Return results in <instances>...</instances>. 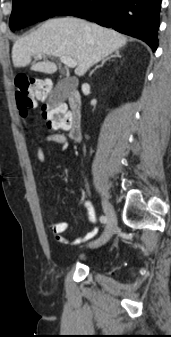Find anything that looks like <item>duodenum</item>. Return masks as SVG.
Instances as JSON below:
<instances>
[{
	"instance_id": "410a0bca",
	"label": "duodenum",
	"mask_w": 171,
	"mask_h": 337,
	"mask_svg": "<svg viewBox=\"0 0 171 337\" xmlns=\"http://www.w3.org/2000/svg\"><path fill=\"white\" fill-rule=\"evenodd\" d=\"M69 110L67 115L69 117V125L67 127L69 135L73 140H80L81 138V123H80V108L81 97L79 92L71 88L68 93Z\"/></svg>"
}]
</instances>
